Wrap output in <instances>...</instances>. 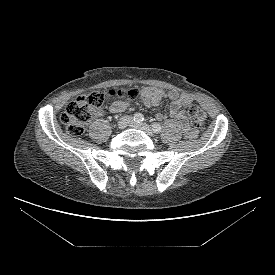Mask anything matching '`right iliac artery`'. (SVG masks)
Here are the masks:
<instances>
[{
	"label": "right iliac artery",
	"instance_id": "right-iliac-artery-1",
	"mask_svg": "<svg viewBox=\"0 0 275 275\" xmlns=\"http://www.w3.org/2000/svg\"><path fill=\"white\" fill-rule=\"evenodd\" d=\"M144 120V117L141 113H136L134 115V121L137 123H141Z\"/></svg>",
	"mask_w": 275,
	"mask_h": 275
}]
</instances>
